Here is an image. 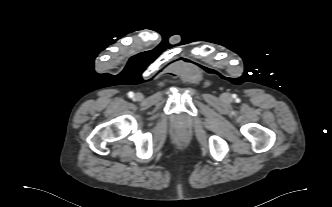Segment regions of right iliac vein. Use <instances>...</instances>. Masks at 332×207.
I'll use <instances>...</instances> for the list:
<instances>
[{
	"label": "right iliac vein",
	"mask_w": 332,
	"mask_h": 207,
	"mask_svg": "<svg viewBox=\"0 0 332 207\" xmlns=\"http://www.w3.org/2000/svg\"><path fill=\"white\" fill-rule=\"evenodd\" d=\"M136 100L140 101L143 99V94L142 93H136L135 95Z\"/></svg>",
	"instance_id": "obj_1"
}]
</instances>
